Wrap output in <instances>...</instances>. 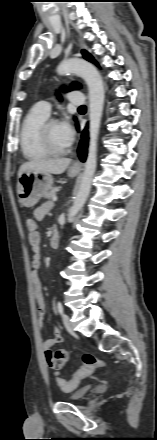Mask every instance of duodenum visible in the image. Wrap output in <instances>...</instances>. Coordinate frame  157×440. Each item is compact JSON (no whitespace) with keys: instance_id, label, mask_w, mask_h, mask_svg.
<instances>
[{"instance_id":"410a0bca","label":"duodenum","mask_w":157,"mask_h":440,"mask_svg":"<svg viewBox=\"0 0 157 440\" xmlns=\"http://www.w3.org/2000/svg\"><path fill=\"white\" fill-rule=\"evenodd\" d=\"M60 241V237H59V233L57 231V229H53L51 238H50V246L51 247H56L58 246Z\"/></svg>"}]
</instances>
